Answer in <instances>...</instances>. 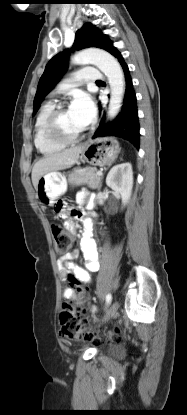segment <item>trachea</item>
<instances>
[{"mask_svg": "<svg viewBox=\"0 0 187 415\" xmlns=\"http://www.w3.org/2000/svg\"><path fill=\"white\" fill-rule=\"evenodd\" d=\"M102 81H97L96 83H101Z\"/></svg>", "mask_w": 187, "mask_h": 415, "instance_id": "trachea-1", "label": "trachea"}]
</instances>
